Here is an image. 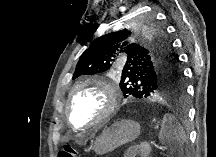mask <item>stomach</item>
Listing matches in <instances>:
<instances>
[{
    "instance_id": "1",
    "label": "stomach",
    "mask_w": 216,
    "mask_h": 157,
    "mask_svg": "<svg viewBox=\"0 0 216 157\" xmlns=\"http://www.w3.org/2000/svg\"><path fill=\"white\" fill-rule=\"evenodd\" d=\"M140 134L139 123L122 120L113 123L102 131L93 145L97 154H106L136 139Z\"/></svg>"
}]
</instances>
